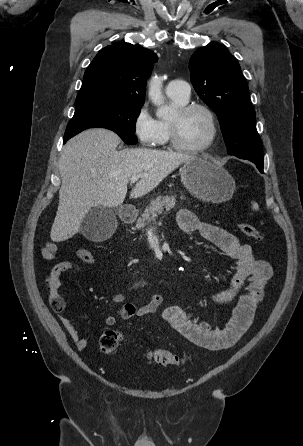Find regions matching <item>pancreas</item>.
<instances>
[{
	"instance_id": "cf45deb5",
	"label": "pancreas",
	"mask_w": 303,
	"mask_h": 446,
	"mask_svg": "<svg viewBox=\"0 0 303 446\" xmlns=\"http://www.w3.org/2000/svg\"><path fill=\"white\" fill-rule=\"evenodd\" d=\"M183 199V197H181ZM176 196H164L157 197L153 200L149 206L144 210L143 214L140 218H138L136 222V228L138 230L143 229L146 226H149L152 222H155L156 219L166 212L173 209L176 205Z\"/></svg>"
}]
</instances>
